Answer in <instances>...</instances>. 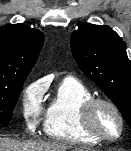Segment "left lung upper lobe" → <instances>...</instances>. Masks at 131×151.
<instances>
[{"instance_id":"1","label":"left lung upper lobe","mask_w":131,"mask_h":151,"mask_svg":"<svg viewBox=\"0 0 131 151\" xmlns=\"http://www.w3.org/2000/svg\"><path fill=\"white\" fill-rule=\"evenodd\" d=\"M71 49L79 68L103 90L131 128V62L125 42L109 26L88 24L72 33Z\"/></svg>"}]
</instances>
